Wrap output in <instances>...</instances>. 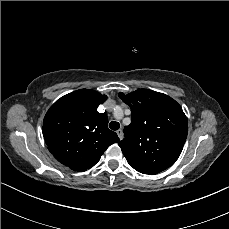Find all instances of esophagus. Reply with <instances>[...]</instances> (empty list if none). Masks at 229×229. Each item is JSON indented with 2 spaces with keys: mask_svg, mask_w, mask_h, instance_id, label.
<instances>
[{
  "mask_svg": "<svg viewBox=\"0 0 229 229\" xmlns=\"http://www.w3.org/2000/svg\"><path fill=\"white\" fill-rule=\"evenodd\" d=\"M117 135H118L120 140L123 139V131H122V129L117 130Z\"/></svg>",
  "mask_w": 229,
  "mask_h": 229,
  "instance_id": "34e87169",
  "label": "esophagus"
}]
</instances>
